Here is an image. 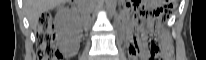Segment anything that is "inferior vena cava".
Instances as JSON below:
<instances>
[{
	"label": "inferior vena cava",
	"instance_id": "obj_1",
	"mask_svg": "<svg viewBox=\"0 0 206 60\" xmlns=\"http://www.w3.org/2000/svg\"><path fill=\"white\" fill-rule=\"evenodd\" d=\"M89 18H90V15L87 13V14H85V16H84V20H86V21H88L89 20Z\"/></svg>",
	"mask_w": 206,
	"mask_h": 60
}]
</instances>
